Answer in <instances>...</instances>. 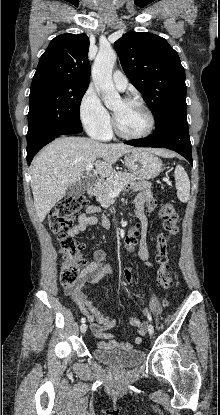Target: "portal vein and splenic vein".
Instances as JSON below:
<instances>
[{
    "instance_id": "portal-vein-and-splenic-vein-1",
    "label": "portal vein and splenic vein",
    "mask_w": 220,
    "mask_h": 415,
    "mask_svg": "<svg viewBox=\"0 0 220 415\" xmlns=\"http://www.w3.org/2000/svg\"><path fill=\"white\" fill-rule=\"evenodd\" d=\"M92 168H93V164L92 163H90V164H88L87 166H86V171L87 172H89V171H91L92 170ZM121 192V189H116V190H114V191H110L109 193H108V196L109 197H116V196H118V194Z\"/></svg>"
}]
</instances>
